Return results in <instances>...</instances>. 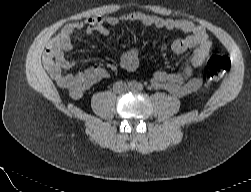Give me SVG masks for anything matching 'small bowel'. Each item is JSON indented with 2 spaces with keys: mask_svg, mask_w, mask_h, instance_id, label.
I'll return each mask as SVG.
<instances>
[{
  "mask_svg": "<svg viewBox=\"0 0 251 192\" xmlns=\"http://www.w3.org/2000/svg\"><path fill=\"white\" fill-rule=\"evenodd\" d=\"M128 19L139 20L148 24H155L167 29L178 28L190 32L191 35L180 41H176L172 48L176 54H181L185 50L194 48L192 55V64L198 67L203 64L209 53L210 43L206 32L187 20H176L171 18H160L157 16L145 15L141 12L131 13L125 16ZM117 19L111 16H97L86 21L88 32L97 31L105 34L107 31L104 27L105 23H115ZM83 26V22H75L66 25L61 32L51 39L48 43L50 56L54 59L55 64L61 67H68L73 64L64 58L62 52L70 49V35L79 27ZM139 63L138 50L132 48L122 54L120 58V66L122 68L133 70L136 69ZM107 76L104 69L93 67L85 72H80L67 77V81L71 87L73 96L79 97L81 93L90 88L95 83L99 82ZM152 84L156 87H165L170 92L177 96H182L198 87L199 81L191 79L185 81V78L180 73H166L158 71L154 74Z\"/></svg>",
  "mask_w": 251,
  "mask_h": 192,
  "instance_id": "obj_1",
  "label": "small bowel"
}]
</instances>
